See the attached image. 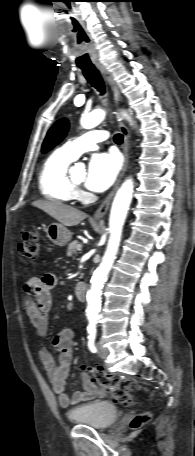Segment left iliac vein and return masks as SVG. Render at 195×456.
Here are the masks:
<instances>
[{
	"label": "left iliac vein",
	"instance_id": "4c4485c4",
	"mask_svg": "<svg viewBox=\"0 0 195 456\" xmlns=\"http://www.w3.org/2000/svg\"><path fill=\"white\" fill-rule=\"evenodd\" d=\"M97 351H98V356L102 359H106L109 351L106 349L102 344L98 343L97 344Z\"/></svg>",
	"mask_w": 195,
	"mask_h": 456
}]
</instances>
